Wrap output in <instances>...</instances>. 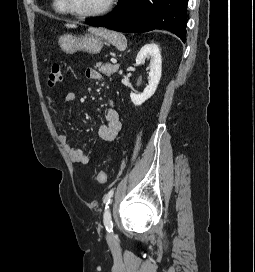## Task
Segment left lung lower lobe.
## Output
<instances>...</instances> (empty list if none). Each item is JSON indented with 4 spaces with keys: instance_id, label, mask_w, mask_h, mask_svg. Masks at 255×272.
Instances as JSON below:
<instances>
[{
    "instance_id": "1",
    "label": "left lung lower lobe",
    "mask_w": 255,
    "mask_h": 272,
    "mask_svg": "<svg viewBox=\"0 0 255 272\" xmlns=\"http://www.w3.org/2000/svg\"><path fill=\"white\" fill-rule=\"evenodd\" d=\"M187 3L188 0H119L109 15L85 22L125 33L165 29L185 42Z\"/></svg>"
}]
</instances>
